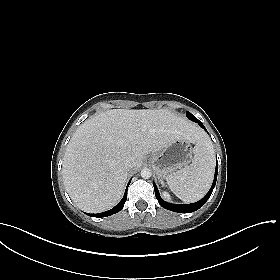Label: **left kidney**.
<instances>
[{"instance_id": "left-kidney-1", "label": "left kidney", "mask_w": 280, "mask_h": 280, "mask_svg": "<svg viewBox=\"0 0 280 280\" xmlns=\"http://www.w3.org/2000/svg\"><path fill=\"white\" fill-rule=\"evenodd\" d=\"M163 196H164L166 199H168V200L171 199L170 194H169L168 192H166V191L163 192Z\"/></svg>"}]
</instances>
